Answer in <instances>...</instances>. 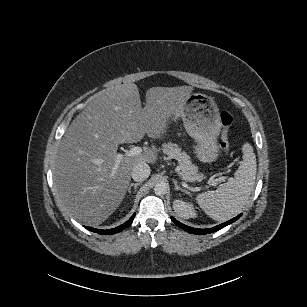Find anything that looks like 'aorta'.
<instances>
[{
	"label": "aorta",
	"mask_w": 307,
	"mask_h": 307,
	"mask_svg": "<svg viewBox=\"0 0 307 307\" xmlns=\"http://www.w3.org/2000/svg\"><path fill=\"white\" fill-rule=\"evenodd\" d=\"M154 192L155 194L162 196L167 192V186L165 185V183H157L154 186Z\"/></svg>",
	"instance_id": "1"
}]
</instances>
